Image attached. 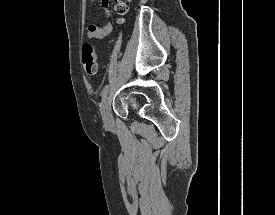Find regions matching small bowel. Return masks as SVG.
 Wrapping results in <instances>:
<instances>
[{"instance_id": "c3829d8e", "label": "small bowel", "mask_w": 275, "mask_h": 215, "mask_svg": "<svg viewBox=\"0 0 275 215\" xmlns=\"http://www.w3.org/2000/svg\"><path fill=\"white\" fill-rule=\"evenodd\" d=\"M101 9L109 16V4L110 0H100ZM112 24L106 23L102 26H98L96 24H89L87 27V36L90 39H104L107 37L112 31Z\"/></svg>"}]
</instances>
